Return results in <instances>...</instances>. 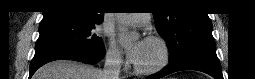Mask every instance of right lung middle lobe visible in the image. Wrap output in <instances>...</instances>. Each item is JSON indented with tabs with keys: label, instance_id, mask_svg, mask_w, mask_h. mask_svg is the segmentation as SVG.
Masks as SVG:
<instances>
[{
	"label": "right lung middle lobe",
	"instance_id": "1",
	"mask_svg": "<svg viewBox=\"0 0 255 79\" xmlns=\"http://www.w3.org/2000/svg\"><path fill=\"white\" fill-rule=\"evenodd\" d=\"M94 22L74 19H52L41 21L40 36L35 44V50L45 48H70L98 51L104 48L100 37L93 34Z\"/></svg>",
	"mask_w": 255,
	"mask_h": 79
}]
</instances>
